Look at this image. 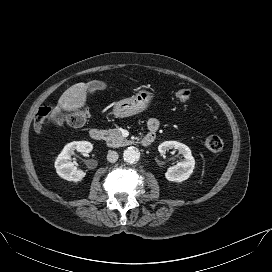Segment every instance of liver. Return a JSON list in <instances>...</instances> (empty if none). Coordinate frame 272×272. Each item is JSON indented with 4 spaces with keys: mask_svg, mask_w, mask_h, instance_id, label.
<instances>
[{
    "mask_svg": "<svg viewBox=\"0 0 272 272\" xmlns=\"http://www.w3.org/2000/svg\"><path fill=\"white\" fill-rule=\"evenodd\" d=\"M87 84L81 82L68 88L59 98L56 107L52 110L49 119H55L61 110L76 111L83 107L87 99Z\"/></svg>",
    "mask_w": 272,
    "mask_h": 272,
    "instance_id": "1",
    "label": "liver"
}]
</instances>
